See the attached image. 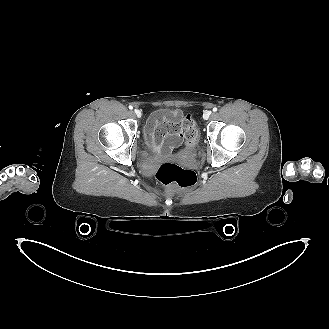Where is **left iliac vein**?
<instances>
[{"mask_svg": "<svg viewBox=\"0 0 329 329\" xmlns=\"http://www.w3.org/2000/svg\"><path fill=\"white\" fill-rule=\"evenodd\" d=\"M210 115H211V111H205L204 112V114H203V118L205 119V120H207L209 117H210Z\"/></svg>", "mask_w": 329, "mask_h": 329, "instance_id": "4c4485c4", "label": "left iliac vein"}]
</instances>
